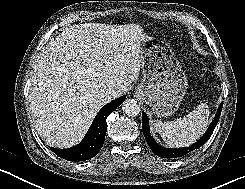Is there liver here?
Instances as JSON below:
<instances>
[{
	"label": "liver",
	"instance_id": "6515ba94",
	"mask_svg": "<svg viewBox=\"0 0 245 189\" xmlns=\"http://www.w3.org/2000/svg\"><path fill=\"white\" fill-rule=\"evenodd\" d=\"M152 38L137 24L85 23L66 28L43 48L29 95L40 137L69 148L81 141L98 111L140 74V43ZM107 88L114 89L106 99Z\"/></svg>",
	"mask_w": 245,
	"mask_h": 189
}]
</instances>
